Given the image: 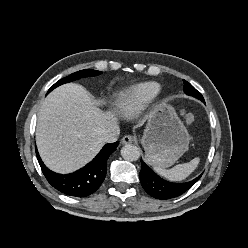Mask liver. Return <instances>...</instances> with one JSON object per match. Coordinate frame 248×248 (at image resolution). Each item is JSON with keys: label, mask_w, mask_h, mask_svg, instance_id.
<instances>
[{"label": "liver", "mask_w": 248, "mask_h": 248, "mask_svg": "<svg viewBox=\"0 0 248 248\" xmlns=\"http://www.w3.org/2000/svg\"><path fill=\"white\" fill-rule=\"evenodd\" d=\"M141 125L142 121L136 127ZM115 130H119L117 114L101 111L83 86L68 83L43 101L36 144L47 167L70 173L91 161L103 147L102 136Z\"/></svg>", "instance_id": "6515ba94"}]
</instances>
